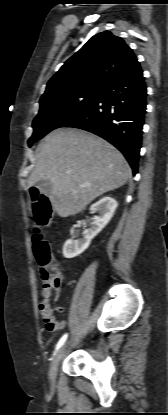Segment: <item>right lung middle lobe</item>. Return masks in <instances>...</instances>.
<instances>
[{
    "label": "right lung middle lobe",
    "mask_w": 168,
    "mask_h": 415,
    "mask_svg": "<svg viewBox=\"0 0 168 415\" xmlns=\"http://www.w3.org/2000/svg\"><path fill=\"white\" fill-rule=\"evenodd\" d=\"M102 93V89H85L40 103L39 113L32 124L34 131L28 140L29 147L90 106Z\"/></svg>",
    "instance_id": "obj_1"
}]
</instances>
